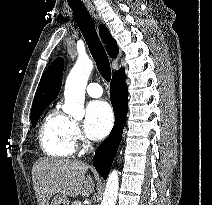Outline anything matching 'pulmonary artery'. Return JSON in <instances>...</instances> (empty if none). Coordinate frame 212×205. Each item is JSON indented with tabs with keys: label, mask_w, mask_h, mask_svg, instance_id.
<instances>
[{
	"label": "pulmonary artery",
	"mask_w": 212,
	"mask_h": 205,
	"mask_svg": "<svg viewBox=\"0 0 212 205\" xmlns=\"http://www.w3.org/2000/svg\"><path fill=\"white\" fill-rule=\"evenodd\" d=\"M86 90L88 95L94 98L100 97L103 93L102 87L96 82L89 83Z\"/></svg>",
	"instance_id": "pulmonary-artery-1"
}]
</instances>
